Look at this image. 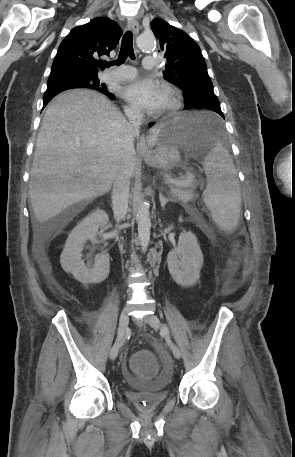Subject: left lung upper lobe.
<instances>
[{
  "label": "left lung upper lobe",
  "mask_w": 295,
  "mask_h": 457,
  "mask_svg": "<svg viewBox=\"0 0 295 457\" xmlns=\"http://www.w3.org/2000/svg\"><path fill=\"white\" fill-rule=\"evenodd\" d=\"M160 52L167 59L164 79L179 87L189 105L201 99L218 100L198 44L184 31L160 18L151 22Z\"/></svg>",
  "instance_id": "obj_1"
}]
</instances>
